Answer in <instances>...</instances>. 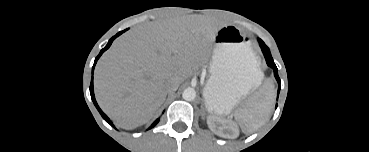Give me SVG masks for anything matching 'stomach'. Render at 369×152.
I'll return each instance as SVG.
<instances>
[{
	"mask_svg": "<svg viewBox=\"0 0 369 152\" xmlns=\"http://www.w3.org/2000/svg\"><path fill=\"white\" fill-rule=\"evenodd\" d=\"M262 78L248 37L236 26L220 27L214 39L210 77L203 90L207 110L229 114L260 85Z\"/></svg>",
	"mask_w": 369,
	"mask_h": 152,
	"instance_id": "obj_1",
	"label": "stomach"
}]
</instances>
